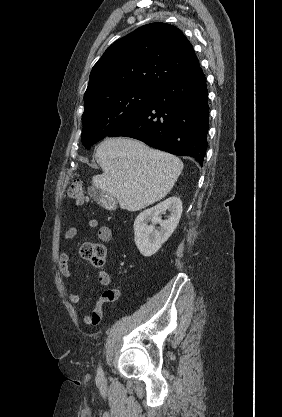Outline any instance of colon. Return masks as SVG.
<instances>
[{
  "instance_id": "obj_1",
  "label": "colon",
  "mask_w": 282,
  "mask_h": 417,
  "mask_svg": "<svg viewBox=\"0 0 282 417\" xmlns=\"http://www.w3.org/2000/svg\"><path fill=\"white\" fill-rule=\"evenodd\" d=\"M68 194L75 201L83 202L85 195L83 185L80 182H72L68 188ZM80 254L95 266H102L106 263V248L102 243H87L81 247Z\"/></svg>"
}]
</instances>
